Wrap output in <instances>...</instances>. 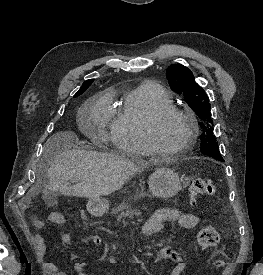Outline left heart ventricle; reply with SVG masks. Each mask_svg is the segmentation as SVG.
<instances>
[{
    "label": "left heart ventricle",
    "mask_w": 263,
    "mask_h": 275,
    "mask_svg": "<svg viewBox=\"0 0 263 275\" xmlns=\"http://www.w3.org/2000/svg\"><path fill=\"white\" fill-rule=\"evenodd\" d=\"M189 126L178 116H169L159 122L155 130L156 142L165 149L180 147L187 139Z\"/></svg>",
    "instance_id": "1"
}]
</instances>
